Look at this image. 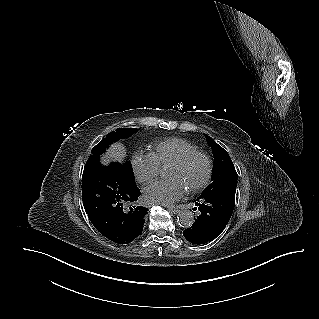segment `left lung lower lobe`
<instances>
[{
  "label": "left lung lower lobe",
  "instance_id": "0a47b994",
  "mask_svg": "<svg viewBox=\"0 0 319 319\" xmlns=\"http://www.w3.org/2000/svg\"><path fill=\"white\" fill-rule=\"evenodd\" d=\"M236 188L223 190L195 200L193 210L200 211L193 225L183 231L184 237L193 244H204L215 239L226 227L234 206Z\"/></svg>",
  "mask_w": 319,
  "mask_h": 319
}]
</instances>
